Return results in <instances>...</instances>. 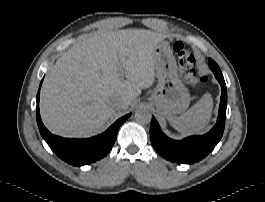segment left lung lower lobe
<instances>
[{
    "label": "left lung lower lobe",
    "instance_id": "1",
    "mask_svg": "<svg viewBox=\"0 0 265 202\" xmlns=\"http://www.w3.org/2000/svg\"><path fill=\"white\" fill-rule=\"evenodd\" d=\"M209 67L221 85L219 115L215 126L205 135L191 136L181 141L168 138L160 129L154 117L151 120L150 139L154 149L167 160L174 163H195L206 157L220 141L224 127L227 107V88L219 66L209 59Z\"/></svg>",
    "mask_w": 265,
    "mask_h": 202
}]
</instances>
